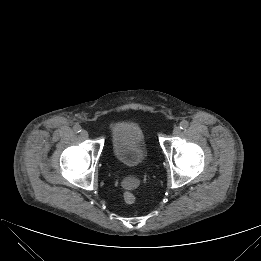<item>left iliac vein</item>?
I'll use <instances>...</instances> for the list:
<instances>
[{
  "label": "left iliac vein",
  "mask_w": 261,
  "mask_h": 261,
  "mask_svg": "<svg viewBox=\"0 0 261 261\" xmlns=\"http://www.w3.org/2000/svg\"><path fill=\"white\" fill-rule=\"evenodd\" d=\"M180 132H181V129H180L179 126L174 127V129H173V135H175V136H176V135H179Z\"/></svg>",
  "instance_id": "4c4485c4"
}]
</instances>
